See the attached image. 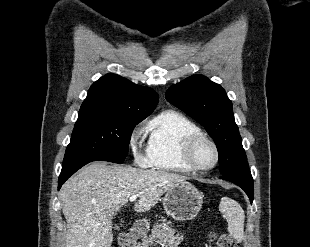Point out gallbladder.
<instances>
[{"label": "gallbladder", "instance_id": "gallbladder-1", "mask_svg": "<svg viewBox=\"0 0 310 247\" xmlns=\"http://www.w3.org/2000/svg\"><path fill=\"white\" fill-rule=\"evenodd\" d=\"M115 229L118 230V227L116 226Z\"/></svg>", "mask_w": 310, "mask_h": 247}]
</instances>
